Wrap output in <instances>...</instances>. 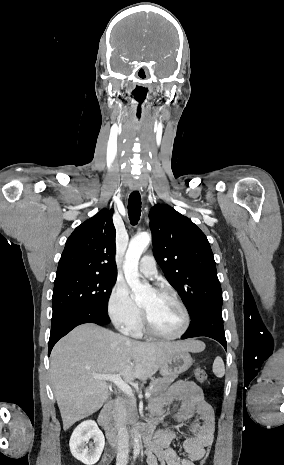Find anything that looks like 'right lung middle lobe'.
I'll return each instance as SVG.
<instances>
[{
	"label": "right lung middle lobe",
	"instance_id": "obj_1",
	"mask_svg": "<svg viewBox=\"0 0 284 465\" xmlns=\"http://www.w3.org/2000/svg\"><path fill=\"white\" fill-rule=\"evenodd\" d=\"M116 279L94 275H70L56 278L52 296V317L75 307L107 312L108 299Z\"/></svg>",
	"mask_w": 284,
	"mask_h": 465
}]
</instances>
